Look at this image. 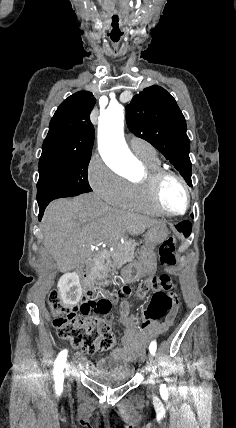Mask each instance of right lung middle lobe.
Instances as JSON below:
<instances>
[{"instance_id": "1", "label": "right lung middle lobe", "mask_w": 236, "mask_h": 428, "mask_svg": "<svg viewBox=\"0 0 236 428\" xmlns=\"http://www.w3.org/2000/svg\"><path fill=\"white\" fill-rule=\"evenodd\" d=\"M90 158L91 155H41L38 204L91 192L87 179Z\"/></svg>"}]
</instances>
